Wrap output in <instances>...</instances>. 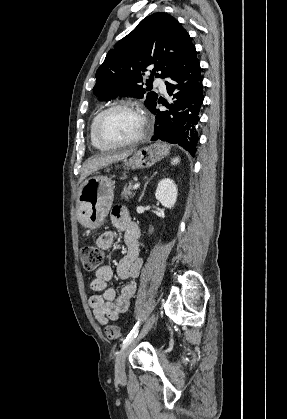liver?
Instances as JSON below:
<instances>
[{"instance_id": "6515ba94", "label": "liver", "mask_w": 287, "mask_h": 419, "mask_svg": "<svg viewBox=\"0 0 287 419\" xmlns=\"http://www.w3.org/2000/svg\"><path fill=\"white\" fill-rule=\"evenodd\" d=\"M134 149L125 150L112 154H100L85 162L80 176V183L93 172L106 167L116 161L124 160L133 153Z\"/></svg>"}]
</instances>
